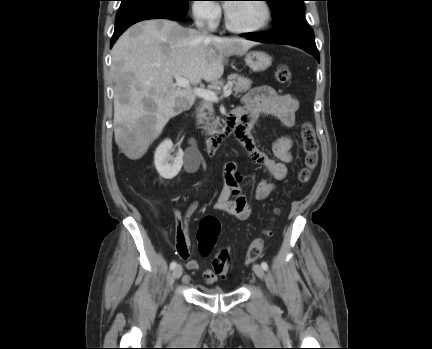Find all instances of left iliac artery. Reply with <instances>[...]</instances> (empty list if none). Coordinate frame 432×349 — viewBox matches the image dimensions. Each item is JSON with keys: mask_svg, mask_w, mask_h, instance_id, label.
<instances>
[{"mask_svg": "<svg viewBox=\"0 0 432 349\" xmlns=\"http://www.w3.org/2000/svg\"><path fill=\"white\" fill-rule=\"evenodd\" d=\"M261 266L264 270H268V264L266 262H262Z\"/></svg>", "mask_w": 432, "mask_h": 349, "instance_id": "1", "label": "left iliac artery"}]
</instances>
